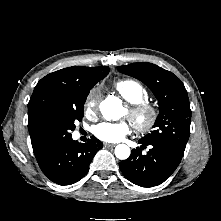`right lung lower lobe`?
<instances>
[{
	"label": "right lung lower lobe",
	"instance_id": "obj_1",
	"mask_svg": "<svg viewBox=\"0 0 221 221\" xmlns=\"http://www.w3.org/2000/svg\"><path fill=\"white\" fill-rule=\"evenodd\" d=\"M102 146L95 137L82 144L71 136L51 142L35 157L48 179L59 185H70L84 177Z\"/></svg>",
	"mask_w": 221,
	"mask_h": 221
}]
</instances>
